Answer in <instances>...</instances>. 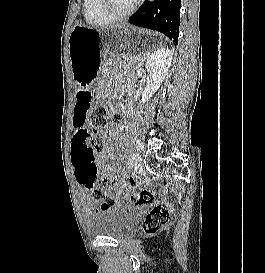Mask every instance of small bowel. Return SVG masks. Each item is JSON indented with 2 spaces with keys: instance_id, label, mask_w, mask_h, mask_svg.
Listing matches in <instances>:
<instances>
[{
  "instance_id": "c3829d8e",
  "label": "small bowel",
  "mask_w": 265,
  "mask_h": 273,
  "mask_svg": "<svg viewBox=\"0 0 265 273\" xmlns=\"http://www.w3.org/2000/svg\"><path fill=\"white\" fill-rule=\"evenodd\" d=\"M113 112L118 111L113 110ZM116 131L117 128L112 129L110 135H114ZM89 136L90 132L88 128H74L70 139L71 166L77 183L83 188L82 198L85 212H90L93 208L88 199V188L81 183L80 173L90 174L92 170L96 169L97 173L94 180L96 179L99 170L103 175H108L111 173V167L105 163V160L114 156L112 151L104 152L99 158L92 156L89 153Z\"/></svg>"
}]
</instances>
